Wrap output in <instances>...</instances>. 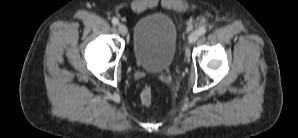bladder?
<instances>
[{"label":"bladder","mask_w":298,"mask_h":138,"mask_svg":"<svg viewBox=\"0 0 298 138\" xmlns=\"http://www.w3.org/2000/svg\"><path fill=\"white\" fill-rule=\"evenodd\" d=\"M177 47V27L166 14L151 13L140 18L133 31V58L141 68L152 72L166 71L172 64Z\"/></svg>","instance_id":"31cf9c89"}]
</instances>
